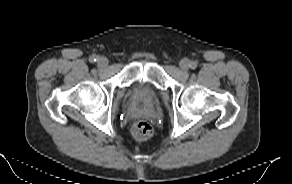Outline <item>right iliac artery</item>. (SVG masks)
Returning <instances> with one entry per match:
<instances>
[{"mask_svg": "<svg viewBox=\"0 0 292 184\" xmlns=\"http://www.w3.org/2000/svg\"><path fill=\"white\" fill-rule=\"evenodd\" d=\"M97 59H98L97 56H91L89 60L90 62L94 63L97 61Z\"/></svg>", "mask_w": 292, "mask_h": 184, "instance_id": "1", "label": "right iliac artery"}]
</instances>
